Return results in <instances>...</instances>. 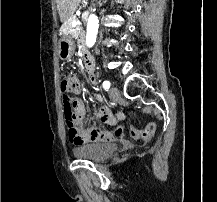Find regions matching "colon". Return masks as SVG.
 <instances>
[{"instance_id": "colon-1", "label": "colon", "mask_w": 217, "mask_h": 202, "mask_svg": "<svg viewBox=\"0 0 217 202\" xmlns=\"http://www.w3.org/2000/svg\"><path fill=\"white\" fill-rule=\"evenodd\" d=\"M73 82H77V78L73 75H70L68 77H65L61 80L60 82V88L61 92L63 95V104L65 107V112H64V118H65V125L68 129V131H77V128L74 123V117L71 113L70 110V98H69V92H73ZM155 123H150L149 127H144V131H136L132 128L129 129V133L131 137H134L136 140H146V141H151L152 140V135L155 134ZM118 131L116 132L118 135L121 133L123 130L121 127L117 129Z\"/></svg>"}]
</instances>
